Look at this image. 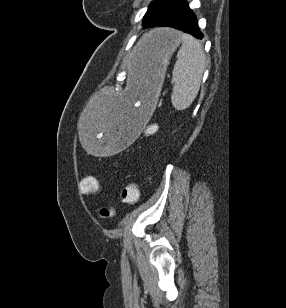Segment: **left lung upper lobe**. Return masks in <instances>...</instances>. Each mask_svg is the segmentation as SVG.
Listing matches in <instances>:
<instances>
[{"label": "left lung upper lobe", "mask_w": 286, "mask_h": 308, "mask_svg": "<svg viewBox=\"0 0 286 308\" xmlns=\"http://www.w3.org/2000/svg\"><path fill=\"white\" fill-rule=\"evenodd\" d=\"M171 1L172 0H154L149 5V8L144 16V28H147L153 22L156 16L160 13V11L167 7L171 3Z\"/></svg>", "instance_id": "left-lung-upper-lobe-1"}]
</instances>
